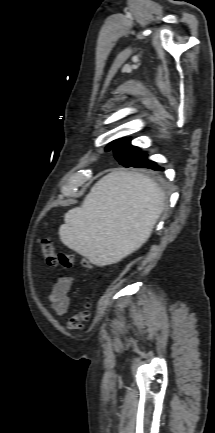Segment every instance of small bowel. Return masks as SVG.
Masks as SVG:
<instances>
[{"instance_id":"1","label":"small bowel","mask_w":215,"mask_h":433,"mask_svg":"<svg viewBox=\"0 0 215 433\" xmlns=\"http://www.w3.org/2000/svg\"><path fill=\"white\" fill-rule=\"evenodd\" d=\"M73 284L71 276L59 277L50 293L49 300L51 307L58 316H63L67 313L70 306L69 292Z\"/></svg>"}]
</instances>
